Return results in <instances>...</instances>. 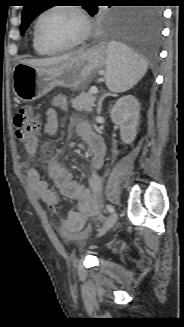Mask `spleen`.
<instances>
[{
  "mask_svg": "<svg viewBox=\"0 0 184 327\" xmlns=\"http://www.w3.org/2000/svg\"><path fill=\"white\" fill-rule=\"evenodd\" d=\"M144 59L128 47L112 41L107 45L105 81L111 92L131 89L147 72Z\"/></svg>",
  "mask_w": 184,
  "mask_h": 327,
  "instance_id": "3e777b00",
  "label": "spleen"
}]
</instances>
